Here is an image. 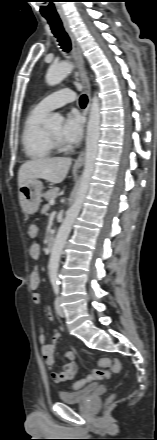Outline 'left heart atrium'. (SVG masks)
I'll list each match as a JSON object with an SVG mask.
<instances>
[{"label":"left heart atrium","instance_id":"obj_1","mask_svg":"<svg viewBox=\"0 0 157 440\" xmlns=\"http://www.w3.org/2000/svg\"><path fill=\"white\" fill-rule=\"evenodd\" d=\"M83 135L82 118L75 114L66 116L61 129V139L67 143H74L81 139Z\"/></svg>","mask_w":157,"mask_h":440}]
</instances>
